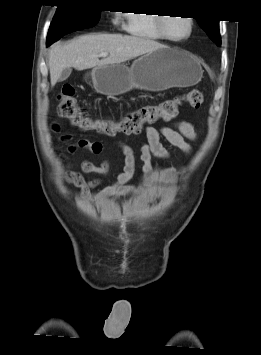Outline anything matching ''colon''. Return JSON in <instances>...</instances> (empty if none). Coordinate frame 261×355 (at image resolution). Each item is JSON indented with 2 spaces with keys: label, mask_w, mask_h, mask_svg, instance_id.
<instances>
[{
  "label": "colon",
  "mask_w": 261,
  "mask_h": 355,
  "mask_svg": "<svg viewBox=\"0 0 261 355\" xmlns=\"http://www.w3.org/2000/svg\"><path fill=\"white\" fill-rule=\"evenodd\" d=\"M74 93V88L70 85H64L61 89L58 96L60 116L79 130L93 131L107 136L138 134L148 125L158 121L173 120L183 105L199 108L204 102L202 92L192 89L181 96L138 108L120 120L94 119L79 105Z\"/></svg>",
  "instance_id": "5ec220e1"
}]
</instances>
